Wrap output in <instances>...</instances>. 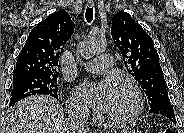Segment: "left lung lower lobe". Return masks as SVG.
Segmentation results:
<instances>
[{
	"mask_svg": "<svg viewBox=\"0 0 184 133\" xmlns=\"http://www.w3.org/2000/svg\"><path fill=\"white\" fill-rule=\"evenodd\" d=\"M149 113L163 115L168 119H170L172 122L176 123L174 110L170 102H160L158 104L151 106Z\"/></svg>",
	"mask_w": 184,
	"mask_h": 133,
	"instance_id": "0a47b994",
	"label": "left lung lower lobe"
}]
</instances>
